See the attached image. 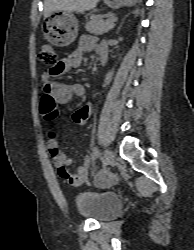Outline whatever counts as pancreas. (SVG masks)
<instances>
[{
    "label": "pancreas",
    "mask_w": 194,
    "mask_h": 250,
    "mask_svg": "<svg viewBox=\"0 0 194 250\" xmlns=\"http://www.w3.org/2000/svg\"><path fill=\"white\" fill-rule=\"evenodd\" d=\"M103 18H107L104 20ZM112 18V14H107L105 16L101 15H92L89 21L86 22L85 28L91 34L101 35L107 33L114 27L113 22H109V19Z\"/></svg>",
    "instance_id": "obj_1"
}]
</instances>
